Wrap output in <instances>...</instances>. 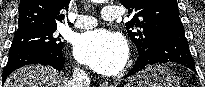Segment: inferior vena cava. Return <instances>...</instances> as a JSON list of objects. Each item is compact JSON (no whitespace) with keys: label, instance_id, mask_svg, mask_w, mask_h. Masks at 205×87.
Masks as SVG:
<instances>
[{"label":"inferior vena cava","instance_id":"1","mask_svg":"<svg viewBox=\"0 0 205 87\" xmlns=\"http://www.w3.org/2000/svg\"><path fill=\"white\" fill-rule=\"evenodd\" d=\"M90 77L88 74L79 68L73 71V79L67 83V87H89Z\"/></svg>","mask_w":205,"mask_h":87}]
</instances>
